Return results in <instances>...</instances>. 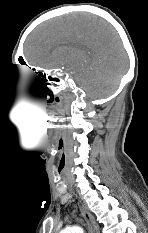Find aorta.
<instances>
[{
  "instance_id": "1",
  "label": "aorta",
  "mask_w": 148,
  "mask_h": 233,
  "mask_svg": "<svg viewBox=\"0 0 148 233\" xmlns=\"http://www.w3.org/2000/svg\"><path fill=\"white\" fill-rule=\"evenodd\" d=\"M61 233H83V229L78 226H74L64 229Z\"/></svg>"
}]
</instances>
